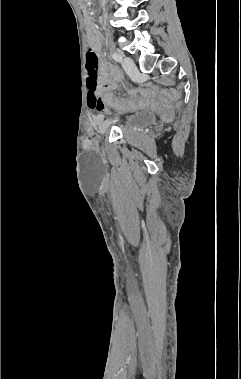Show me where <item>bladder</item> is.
<instances>
[{"label":"bladder","instance_id":"1","mask_svg":"<svg viewBox=\"0 0 241 379\" xmlns=\"http://www.w3.org/2000/svg\"><path fill=\"white\" fill-rule=\"evenodd\" d=\"M155 120L156 115L154 112L150 110H139L128 119L126 128L128 130L144 128L154 123Z\"/></svg>","mask_w":241,"mask_h":379}]
</instances>
